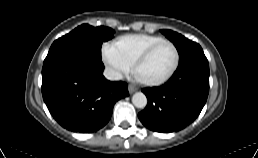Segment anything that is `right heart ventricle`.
<instances>
[{
	"label": "right heart ventricle",
	"mask_w": 258,
	"mask_h": 158,
	"mask_svg": "<svg viewBox=\"0 0 258 158\" xmlns=\"http://www.w3.org/2000/svg\"><path fill=\"white\" fill-rule=\"evenodd\" d=\"M160 41V37H127L120 39L112 47L128 66H133L148 48Z\"/></svg>",
	"instance_id": "1"
}]
</instances>
